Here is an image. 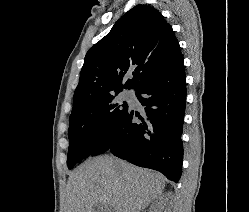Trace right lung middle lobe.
<instances>
[{"mask_svg":"<svg viewBox=\"0 0 249 212\" xmlns=\"http://www.w3.org/2000/svg\"><path fill=\"white\" fill-rule=\"evenodd\" d=\"M117 95H108L72 109L68 131L69 169L89 156H96L109 131L128 110L127 102L118 101Z\"/></svg>","mask_w":249,"mask_h":212,"instance_id":"right-lung-middle-lobe-1","label":"right lung middle lobe"}]
</instances>
